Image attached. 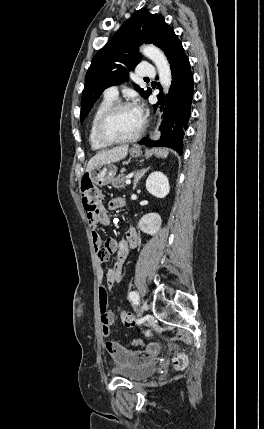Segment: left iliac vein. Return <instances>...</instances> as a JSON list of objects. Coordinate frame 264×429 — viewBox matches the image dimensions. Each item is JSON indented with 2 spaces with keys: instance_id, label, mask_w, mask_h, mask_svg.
Instances as JSON below:
<instances>
[{
  "instance_id": "obj_1",
  "label": "left iliac vein",
  "mask_w": 264,
  "mask_h": 429,
  "mask_svg": "<svg viewBox=\"0 0 264 429\" xmlns=\"http://www.w3.org/2000/svg\"><path fill=\"white\" fill-rule=\"evenodd\" d=\"M143 312H144V309L141 307V308H140V310H139V314H140L142 317L145 315Z\"/></svg>"
}]
</instances>
